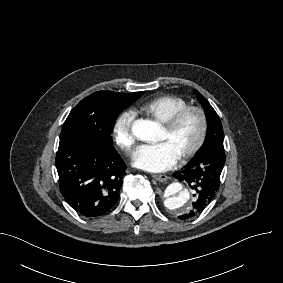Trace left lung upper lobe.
Wrapping results in <instances>:
<instances>
[{"label":"left lung upper lobe","instance_id":"left-lung-upper-lobe-1","mask_svg":"<svg viewBox=\"0 0 283 283\" xmlns=\"http://www.w3.org/2000/svg\"><path fill=\"white\" fill-rule=\"evenodd\" d=\"M194 92L197 95V98L201 102L202 106L204 107L205 115L208 122V132L202 147L206 144H223V128L218 114L209 104L206 98H204L197 90H194Z\"/></svg>","mask_w":283,"mask_h":283}]
</instances>
